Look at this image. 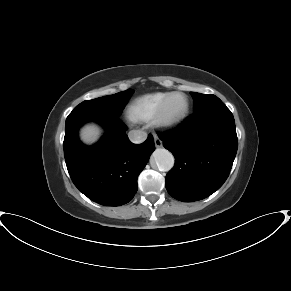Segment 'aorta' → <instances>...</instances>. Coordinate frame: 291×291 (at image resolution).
<instances>
[{
  "label": "aorta",
  "mask_w": 291,
  "mask_h": 291,
  "mask_svg": "<svg viewBox=\"0 0 291 291\" xmlns=\"http://www.w3.org/2000/svg\"><path fill=\"white\" fill-rule=\"evenodd\" d=\"M152 157L159 171L167 172L174 166V156L165 148H157L153 152Z\"/></svg>",
  "instance_id": "1"
}]
</instances>
